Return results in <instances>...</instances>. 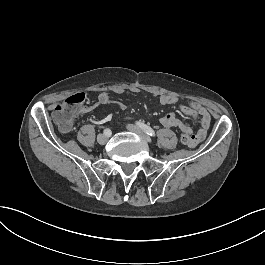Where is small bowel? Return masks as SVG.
<instances>
[{
	"mask_svg": "<svg viewBox=\"0 0 265 265\" xmlns=\"http://www.w3.org/2000/svg\"><path fill=\"white\" fill-rule=\"evenodd\" d=\"M114 92L116 94H123L125 92V89L122 87H117L114 89ZM133 92L137 93L139 92V90L133 89ZM158 98H159V102L161 105L177 104L182 114L188 117H191L198 123L199 129L196 132H194L192 128L186 123H184L182 120H180L177 117L176 113L174 112H170L166 114L165 116L161 117L159 120L160 124L163 127H166V128L177 127L181 130L183 134L189 135L194 141L191 144L192 147L194 148L197 147L198 143L203 141L204 138L206 137L210 124H211V116L208 110L202 105L192 102V101H186L183 103H179L178 98L170 94H162ZM98 104L99 105L111 104L120 110H125L126 108L125 104L112 101L110 94L107 91H103L99 94ZM93 108L94 106H80L77 109L76 115L88 113ZM125 122H130V117H125Z\"/></svg>",
	"mask_w": 265,
	"mask_h": 265,
	"instance_id": "1",
	"label": "small bowel"
}]
</instances>
